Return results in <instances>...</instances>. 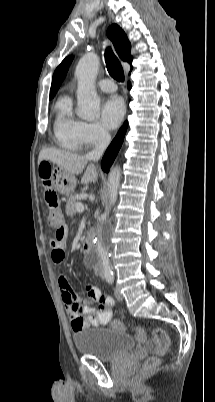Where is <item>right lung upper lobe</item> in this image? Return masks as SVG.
Returning a JSON list of instances; mask_svg holds the SVG:
<instances>
[{
	"label": "right lung upper lobe",
	"mask_w": 215,
	"mask_h": 402,
	"mask_svg": "<svg viewBox=\"0 0 215 402\" xmlns=\"http://www.w3.org/2000/svg\"><path fill=\"white\" fill-rule=\"evenodd\" d=\"M107 35L113 42L116 52L119 57L128 63H132V56L130 55L131 44L124 33V31L116 24L111 25L107 30ZM73 59V56L66 57L61 64L56 68L50 89V97H54L59 89L63 79L66 76L69 65ZM132 69V67H131Z\"/></svg>",
	"instance_id": "1"
}]
</instances>
